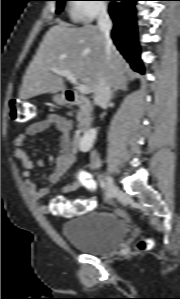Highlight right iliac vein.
Returning a JSON list of instances; mask_svg holds the SVG:
<instances>
[{
    "label": "right iliac vein",
    "mask_w": 180,
    "mask_h": 299,
    "mask_svg": "<svg viewBox=\"0 0 180 299\" xmlns=\"http://www.w3.org/2000/svg\"><path fill=\"white\" fill-rule=\"evenodd\" d=\"M107 199L113 198L119 191L111 176L106 177Z\"/></svg>",
    "instance_id": "1"
}]
</instances>
